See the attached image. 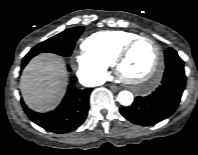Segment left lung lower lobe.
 <instances>
[{"mask_svg": "<svg viewBox=\"0 0 198 155\" xmlns=\"http://www.w3.org/2000/svg\"><path fill=\"white\" fill-rule=\"evenodd\" d=\"M184 65L173 63L166 67L159 88L145 97H137L129 107H121V114L134 124L154 125L177 109L185 88Z\"/></svg>", "mask_w": 198, "mask_h": 155, "instance_id": "0a47b994", "label": "left lung lower lobe"}]
</instances>
